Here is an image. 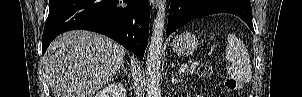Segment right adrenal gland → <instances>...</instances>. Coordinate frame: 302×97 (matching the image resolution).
Returning <instances> with one entry per match:
<instances>
[{"mask_svg": "<svg viewBox=\"0 0 302 97\" xmlns=\"http://www.w3.org/2000/svg\"><path fill=\"white\" fill-rule=\"evenodd\" d=\"M121 71H123L124 74L127 75V71H126V68H125V64H124V63L121 64L120 69H118V73H120Z\"/></svg>", "mask_w": 302, "mask_h": 97, "instance_id": "obj_1", "label": "right adrenal gland"}]
</instances>
